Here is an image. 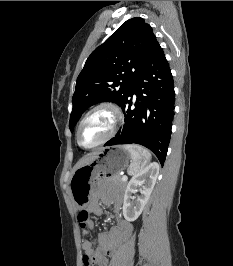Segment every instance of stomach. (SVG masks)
<instances>
[{
	"instance_id": "1",
	"label": "stomach",
	"mask_w": 233,
	"mask_h": 266,
	"mask_svg": "<svg viewBox=\"0 0 233 266\" xmlns=\"http://www.w3.org/2000/svg\"><path fill=\"white\" fill-rule=\"evenodd\" d=\"M131 163V156L123 146L105 147L92 161L77 168L70 181L69 189L78 209L86 206L89 195L102 180H109L123 172Z\"/></svg>"
}]
</instances>
